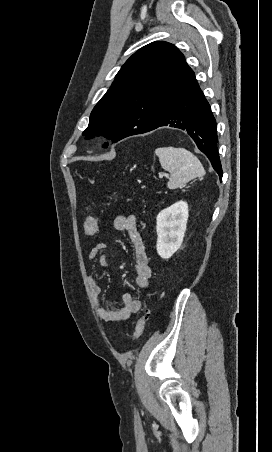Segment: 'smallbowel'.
Here are the masks:
<instances>
[{"instance_id": "c3829d8e", "label": "small bowel", "mask_w": 272, "mask_h": 452, "mask_svg": "<svg viewBox=\"0 0 272 452\" xmlns=\"http://www.w3.org/2000/svg\"><path fill=\"white\" fill-rule=\"evenodd\" d=\"M114 227L117 230L125 231L129 234L134 247V263L136 270V285L139 289H147L150 285L151 268L149 266L148 254L140 231L137 228V219L132 214H118L114 218ZM107 249L104 242L97 243L89 252L90 261L97 259L101 266H108L109 261L103 254ZM89 285L96 303L99 317L110 324L124 323L132 315L138 313L142 308V301L131 294H124L123 305L120 309H112L107 306L103 299L104 288L93 277L89 279Z\"/></svg>"}]
</instances>
